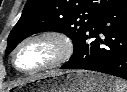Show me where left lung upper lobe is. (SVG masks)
I'll list each match as a JSON object with an SVG mask.
<instances>
[{
  "label": "left lung upper lobe",
  "mask_w": 127,
  "mask_h": 92,
  "mask_svg": "<svg viewBox=\"0 0 127 92\" xmlns=\"http://www.w3.org/2000/svg\"><path fill=\"white\" fill-rule=\"evenodd\" d=\"M122 0H28L21 18L8 37L6 56L26 37L57 31L74 46L108 10Z\"/></svg>",
  "instance_id": "obj_1"
}]
</instances>
